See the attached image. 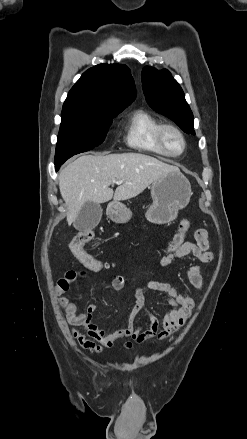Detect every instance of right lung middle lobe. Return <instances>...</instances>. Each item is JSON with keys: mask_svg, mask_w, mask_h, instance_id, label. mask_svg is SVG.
<instances>
[{"mask_svg": "<svg viewBox=\"0 0 247 439\" xmlns=\"http://www.w3.org/2000/svg\"><path fill=\"white\" fill-rule=\"evenodd\" d=\"M89 112L62 111L56 145L55 167L68 158L89 151L105 140L112 118L121 111Z\"/></svg>", "mask_w": 247, "mask_h": 439, "instance_id": "right-lung-middle-lobe-1", "label": "right lung middle lobe"}]
</instances>
